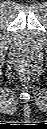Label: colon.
<instances>
[{"label": "colon", "instance_id": "colon-1", "mask_svg": "<svg viewBox=\"0 0 47 129\" xmlns=\"http://www.w3.org/2000/svg\"><path fill=\"white\" fill-rule=\"evenodd\" d=\"M20 72L25 78H29L33 74V65L30 62L23 61L19 65Z\"/></svg>", "mask_w": 47, "mask_h": 129}]
</instances>
